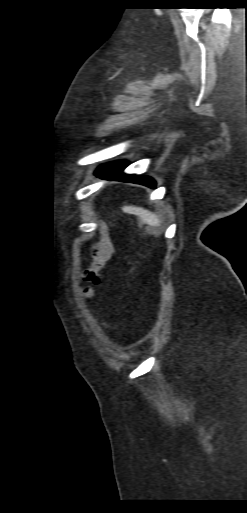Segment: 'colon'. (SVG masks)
I'll return each instance as SVG.
<instances>
[{
    "label": "colon",
    "mask_w": 247,
    "mask_h": 513,
    "mask_svg": "<svg viewBox=\"0 0 247 513\" xmlns=\"http://www.w3.org/2000/svg\"><path fill=\"white\" fill-rule=\"evenodd\" d=\"M91 264L83 272L82 284L89 288L99 283V272L112 254L110 245L101 239L95 242L90 249Z\"/></svg>",
    "instance_id": "1"
}]
</instances>
